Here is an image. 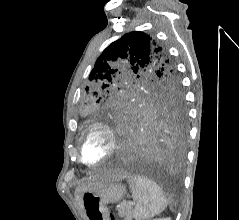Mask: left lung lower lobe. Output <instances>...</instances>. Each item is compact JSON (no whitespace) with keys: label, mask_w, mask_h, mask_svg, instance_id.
<instances>
[{"label":"left lung lower lobe","mask_w":239,"mask_h":220,"mask_svg":"<svg viewBox=\"0 0 239 220\" xmlns=\"http://www.w3.org/2000/svg\"><path fill=\"white\" fill-rule=\"evenodd\" d=\"M99 122L114 127L120 146L116 162L176 165L184 158L186 112L113 111Z\"/></svg>","instance_id":"left-lung-lower-lobe-1"}]
</instances>
